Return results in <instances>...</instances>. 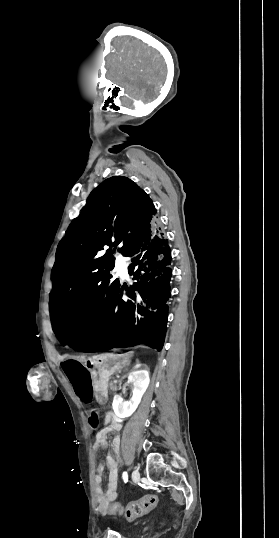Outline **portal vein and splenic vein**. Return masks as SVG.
<instances>
[{
	"label": "portal vein and splenic vein",
	"mask_w": 279,
	"mask_h": 538,
	"mask_svg": "<svg viewBox=\"0 0 279 538\" xmlns=\"http://www.w3.org/2000/svg\"><path fill=\"white\" fill-rule=\"evenodd\" d=\"M118 380H121V377H118ZM113 383H117V380H113Z\"/></svg>",
	"instance_id": "18ae733b"
}]
</instances>
